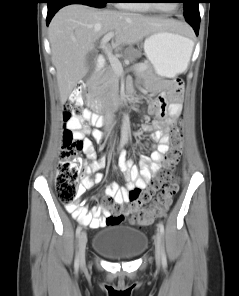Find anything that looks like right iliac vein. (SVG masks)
Returning a JSON list of instances; mask_svg holds the SVG:
<instances>
[{"label":"right iliac vein","mask_w":239,"mask_h":296,"mask_svg":"<svg viewBox=\"0 0 239 296\" xmlns=\"http://www.w3.org/2000/svg\"><path fill=\"white\" fill-rule=\"evenodd\" d=\"M87 245V235L85 231H82L79 237V263L80 266L85 264V253Z\"/></svg>","instance_id":"obj_1"}]
</instances>
